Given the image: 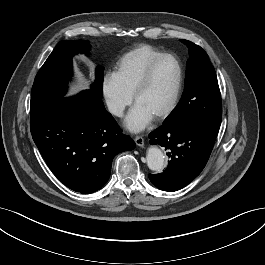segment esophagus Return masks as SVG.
Segmentation results:
<instances>
[{
    "label": "esophagus",
    "instance_id": "34e87169",
    "mask_svg": "<svg viewBox=\"0 0 265 265\" xmlns=\"http://www.w3.org/2000/svg\"><path fill=\"white\" fill-rule=\"evenodd\" d=\"M135 143L137 146L139 147H143L144 146V139L141 136H136L134 139Z\"/></svg>",
    "mask_w": 265,
    "mask_h": 265
}]
</instances>
